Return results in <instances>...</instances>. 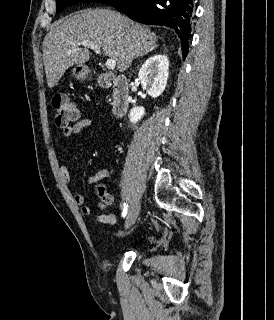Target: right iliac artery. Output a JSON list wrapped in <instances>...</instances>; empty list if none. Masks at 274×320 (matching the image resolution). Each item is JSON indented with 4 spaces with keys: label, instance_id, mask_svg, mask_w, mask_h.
Returning a JSON list of instances; mask_svg holds the SVG:
<instances>
[{
    "label": "right iliac artery",
    "instance_id": "1",
    "mask_svg": "<svg viewBox=\"0 0 274 320\" xmlns=\"http://www.w3.org/2000/svg\"><path fill=\"white\" fill-rule=\"evenodd\" d=\"M127 207H128V205L125 203V204H124L123 211H122V217H123V218H124V217L126 216V214H127Z\"/></svg>",
    "mask_w": 274,
    "mask_h": 320
}]
</instances>
